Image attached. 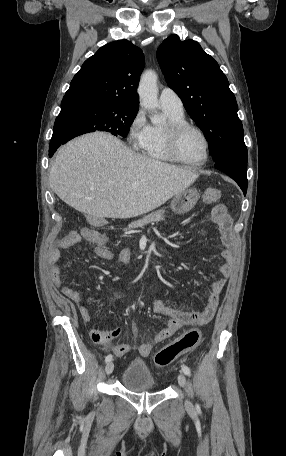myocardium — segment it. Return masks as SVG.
<instances>
[{
  "mask_svg": "<svg viewBox=\"0 0 286 456\" xmlns=\"http://www.w3.org/2000/svg\"><path fill=\"white\" fill-rule=\"evenodd\" d=\"M194 130L202 137L205 144V156L201 161L191 162L187 161L180 156L177 150L178 138L182 132L185 130ZM164 144L165 149L169 157L176 162L181 164L191 166V167H200L207 163L210 158V141L206 133L197 125L187 122V121H169L163 130Z\"/></svg>",
  "mask_w": 286,
  "mask_h": 456,
  "instance_id": "obj_1",
  "label": "myocardium"
}]
</instances>
